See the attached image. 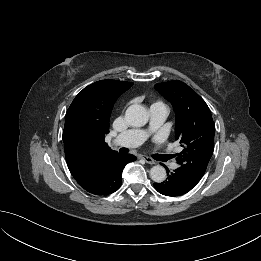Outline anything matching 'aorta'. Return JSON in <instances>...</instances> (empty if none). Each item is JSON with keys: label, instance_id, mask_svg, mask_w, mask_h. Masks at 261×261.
<instances>
[{"label": "aorta", "instance_id": "762f6f07", "mask_svg": "<svg viewBox=\"0 0 261 261\" xmlns=\"http://www.w3.org/2000/svg\"><path fill=\"white\" fill-rule=\"evenodd\" d=\"M125 119L132 127H142L149 120L146 108L140 105H132L125 112ZM150 177L154 182L161 183L166 179V170L163 166L156 165L150 169Z\"/></svg>", "mask_w": 261, "mask_h": 261}]
</instances>
